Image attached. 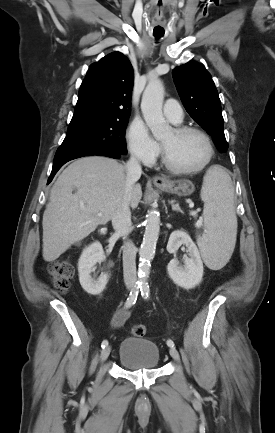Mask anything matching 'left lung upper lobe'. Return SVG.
I'll list each match as a JSON object with an SVG mask.
<instances>
[{
    "instance_id": "left-lung-upper-lobe-1",
    "label": "left lung upper lobe",
    "mask_w": 275,
    "mask_h": 433,
    "mask_svg": "<svg viewBox=\"0 0 275 433\" xmlns=\"http://www.w3.org/2000/svg\"><path fill=\"white\" fill-rule=\"evenodd\" d=\"M172 75L189 115L213 137L216 147L225 152L228 143L223 130L221 102L210 73L204 65L190 61L174 68Z\"/></svg>"
}]
</instances>
